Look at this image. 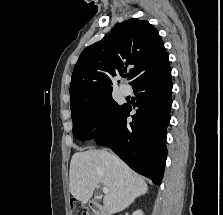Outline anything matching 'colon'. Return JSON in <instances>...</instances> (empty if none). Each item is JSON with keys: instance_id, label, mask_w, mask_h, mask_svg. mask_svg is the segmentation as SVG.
Here are the masks:
<instances>
[{"instance_id": "5ec220e1", "label": "colon", "mask_w": 223, "mask_h": 215, "mask_svg": "<svg viewBox=\"0 0 223 215\" xmlns=\"http://www.w3.org/2000/svg\"><path fill=\"white\" fill-rule=\"evenodd\" d=\"M70 215H91V212L85 205L72 202L70 206Z\"/></svg>"}]
</instances>
